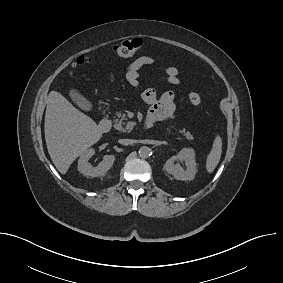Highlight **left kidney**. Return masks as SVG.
I'll return each instance as SVG.
<instances>
[{
	"label": "left kidney",
	"instance_id": "left-kidney-1",
	"mask_svg": "<svg viewBox=\"0 0 283 283\" xmlns=\"http://www.w3.org/2000/svg\"><path fill=\"white\" fill-rule=\"evenodd\" d=\"M179 162H184L186 168H183ZM164 169L177 180H193L197 173L194 150L183 148L176 156L166 161Z\"/></svg>",
	"mask_w": 283,
	"mask_h": 283
}]
</instances>
